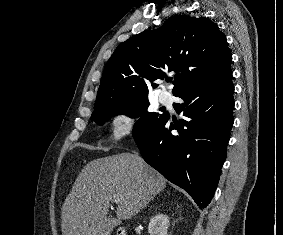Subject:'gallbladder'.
I'll return each mask as SVG.
<instances>
[{"instance_id": "obj_1", "label": "gallbladder", "mask_w": 283, "mask_h": 235, "mask_svg": "<svg viewBox=\"0 0 283 235\" xmlns=\"http://www.w3.org/2000/svg\"><path fill=\"white\" fill-rule=\"evenodd\" d=\"M108 222H111L110 230L112 231L113 228L118 224V220L114 218H108Z\"/></svg>"}]
</instances>
